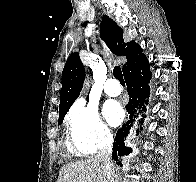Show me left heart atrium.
<instances>
[{
  "mask_svg": "<svg viewBox=\"0 0 196 182\" xmlns=\"http://www.w3.org/2000/svg\"><path fill=\"white\" fill-rule=\"evenodd\" d=\"M103 113L108 123L112 126H117L124 118V111L121 105L113 100L105 102L103 106Z\"/></svg>",
  "mask_w": 196,
  "mask_h": 182,
  "instance_id": "1",
  "label": "left heart atrium"
}]
</instances>
